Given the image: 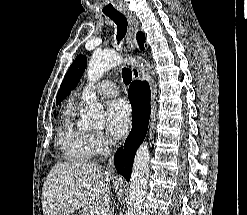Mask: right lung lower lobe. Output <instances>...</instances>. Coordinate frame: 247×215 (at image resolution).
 <instances>
[{
    "instance_id": "1",
    "label": "right lung lower lobe",
    "mask_w": 247,
    "mask_h": 215,
    "mask_svg": "<svg viewBox=\"0 0 247 215\" xmlns=\"http://www.w3.org/2000/svg\"><path fill=\"white\" fill-rule=\"evenodd\" d=\"M128 97L132 105V130L127 137L124 148H120L114 163L117 171L130 180L134 155L143 142L150 118V87L147 82L133 81L128 90Z\"/></svg>"
}]
</instances>
